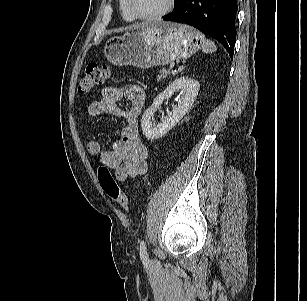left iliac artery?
I'll list each match as a JSON object with an SVG mask.
<instances>
[{"label": "left iliac artery", "instance_id": "1", "mask_svg": "<svg viewBox=\"0 0 307 301\" xmlns=\"http://www.w3.org/2000/svg\"><path fill=\"white\" fill-rule=\"evenodd\" d=\"M140 257L143 263H149L148 253H147L146 244L144 240H142L140 243Z\"/></svg>", "mask_w": 307, "mask_h": 301}]
</instances>
